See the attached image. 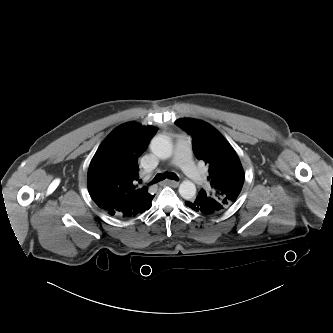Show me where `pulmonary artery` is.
Returning a JSON list of instances; mask_svg holds the SVG:
<instances>
[{"instance_id": "e3ab8cb5", "label": "pulmonary artery", "mask_w": 333, "mask_h": 333, "mask_svg": "<svg viewBox=\"0 0 333 333\" xmlns=\"http://www.w3.org/2000/svg\"><path fill=\"white\" fill-rule=\"evenodd\" d=\"M174 164L180 166L186 175L197 185L204 183V178L191 159L190 145L186 137L178 138L175 148Z\"/></svg>"}]
</instances>
